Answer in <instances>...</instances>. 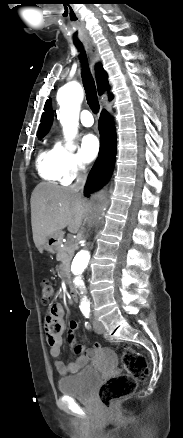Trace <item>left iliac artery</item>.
Listing matches in <instances>:
<instances>
[{"label":"left iliac artery","instance_id":"obj_1","mask_svg":"<svg viewBox=\"0 0 183 438\" xmlns=\"http://www.w3.org/2000/svg\"><path fill=\"white\" fill-rule=\"evenodd\" d=\"M81 311H82V313H83L86 317H89V313H90V308H89V306L82 307V308H81Z\"/></svg>","mask_w":183,"mask_h":438}]
</instances>
